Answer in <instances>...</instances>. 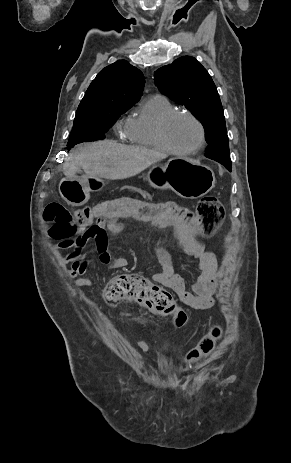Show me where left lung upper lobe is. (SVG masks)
Wrapping results in <instances>:
<instances>
[{"label":"left lung upper lobe","instance_id":"1","mask_svg":"<svg viewBox=\"0 0 291 463\" xmlns=\"http://www.w3.org/2000/svg\"><path fill=\"white\" fill-rule=\"evenodd\" d=\"M158 89L184 105L202 123L210 159L231 161L226 123L217 88L207 70L191 56H183L154 73Z\"/></svg>","mask_w":291,"mask_h":463}]
</instances>
